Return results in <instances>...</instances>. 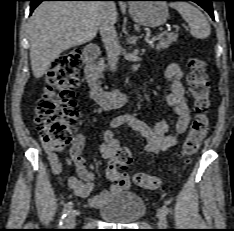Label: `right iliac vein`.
Returning <instances> with one entry per match:
<instances>
[{
    "label": "right iliac vein",
    "instance_id": "right-iliac-vein-1",
    "mask_svg": "<svg viewBox=\"0 0 234 231\" xmlns=\"http://www.w3.org/2000/svg\"><path fill=\"white\" fill-rule=\"evenodd\" d=\"M75 221H76V212L74 210H71L67 214V219L65 222V228H74L75 227Z\"/></svg>",
    "mask_w": 234,
    "mask_h": 231
}]
</instances>
